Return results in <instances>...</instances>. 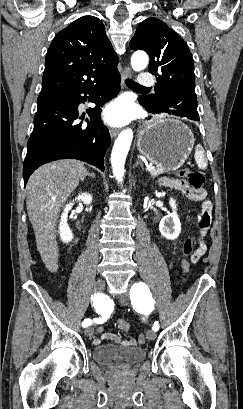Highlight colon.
<instances>
[{"label": "colon", "mask_w": 243, "mask_h": 409, "mask_svg": "<svg viewBox=\"0 0 243 409\" xmlns=\"http://www.w3.org/2000/svg\"><path fill=\"white\" fill-rule=\"evenodd\" d=\"M177 175L186 180L191 187L197 190H203L204 176L200 172L190 171L189 169H181L178 171ZM195 249L193 238H188L183 245L184 258L181 262V268L184 274H187L191 267L190 256ZM119 327L123 330H128L129 325L126 321L120 320L118 322ZM139 342L141 344L146 342V337L141 334L139 336Z\"/></svg>", "instance_id": "1"}]
</instances>
